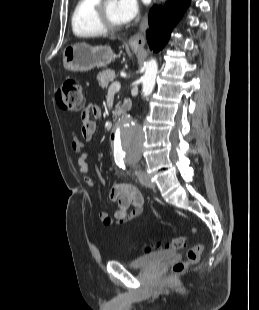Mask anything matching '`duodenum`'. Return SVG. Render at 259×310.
<instances>
[{"label":"duodenum","instance_id":"410a0bca","mask_svg":"<svg viewBox=\"0 0 259 310\" xmlns=\"http://www.w3.org/2000/svg\"><path fill=\"white\" fill-rule=\"evenodd\" d=\"M126 106H127V103L124 102L120 108L116 109L113 113L114 118L120 117L124 113Z\"/></svg>","mask_w":259,"mask_h":310}]
</instances>
